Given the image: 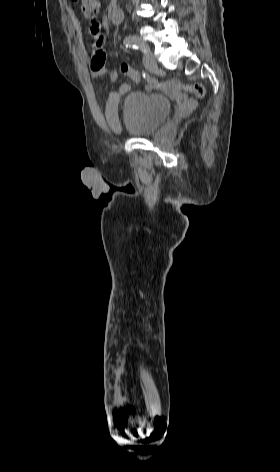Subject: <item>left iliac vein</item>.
<instances>
[{
    "instance_id": "1",
    "label": "left iliac vein",
    "mask_w": 280,
    "mask_h": 472,
    "mask_svg": "<svg viewBox=\"0 0 280 472\" xmlns=\"http://www.w3.org/2000/svg\"><path fill=\"white\" fill-rule=\"evenodd\" d=\"M143 64L145 68L149 70L155 69L157 67L156 58L148 47H146L143 53Z\"/></svg>"
}]
</instances>
